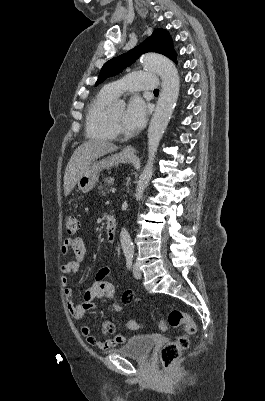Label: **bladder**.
Segmentation results:
<instances>
[{
  "instance_id": "bladder-1",
  "label": "bladder",
  "mask_w": 265,
  "mask_h": 401,
  "mask_svg": "<svg viewBox=\"0 0 265 401\" xmlns=\"http://www.w3.org/2000/svg\"><path fill=\"white\" fill-rule=\"evenodd\" d=\"M154 343L152 336H135L124 346L108 350V352H119L125 357L147 358Z\"/></svg>"
}]
</instances>
